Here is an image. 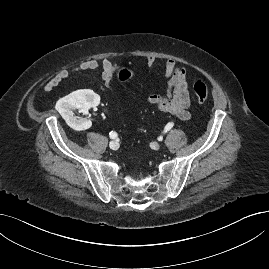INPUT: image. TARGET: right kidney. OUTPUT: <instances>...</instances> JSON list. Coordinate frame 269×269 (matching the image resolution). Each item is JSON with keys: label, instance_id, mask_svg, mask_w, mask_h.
I'll return each instance as SVG.
<instances>
[{"label": "right kidney", "instance_id": "1", "mask_svg": "<svg viewBox=\"0 0 269 269\" xmlns=\"http://www.w3.org/2000/svg\"><path fill=\"white\" fill-rule=\"evenodd\" d=\"M99 101L100 97L92 90H77L58 100L56 110L72 128L87 129L91 126V121L75 116L73 110L79 109L82 112H86L89 108L97 106ZM99 107L101 110L106 111L102 118L96 122L101 127L104 123L106 124L110 121L114 109L108 101L101 103Z\"/></svg>", "mask_w": 269, "mask_h": 269}]
</instances>
